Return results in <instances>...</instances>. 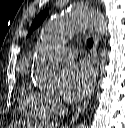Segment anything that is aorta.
Masks as SVG:
<instances>
[{
  "instance_id": "762f6f07",
  "label": "aorta",
  "mask_w": 125,
  "mask_h": 128,
  "mask_svg": "<svg viewBox=\"0 0 125 128\" xmlns=\"http://www.w3.org/2000/svg\"><path fill=\"white\" fill-rule=\"evenodd\" d=\"M88 28L104 34L107 31L104 15L92 7H73L64 15L47 23L40 34V47L42 49L51 47ZM32 78L39 88L53 90L59 84L60 74L53 61L41 54L32 67ZM77 128H86V126L81 124Z\"/></svg>"
}]
</instances>
